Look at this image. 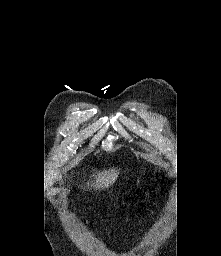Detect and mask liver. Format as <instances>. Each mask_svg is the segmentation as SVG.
<instances>
[{
  "mask_svg": "<svg viewBox=\"0 0 221 256\" xmlns=\"http://www.w3.org/2000/svg\"><path fill=\"white\" fill-rule=\"evenodd\" d=\"M119 170L110 169L98 172L95 175V181H89L87 183L88 188L93 187L95 189H108L117 179ZM94 176V175H93Z\"/></svg>",
  "mask_w": 221,
  "mask_h": 256,
  "instance_id": "6515ba94",
  "label": "liver"
}]
</instances>
